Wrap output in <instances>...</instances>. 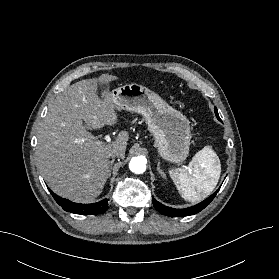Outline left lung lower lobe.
<instances>
[{"label": "left lung lower lobe", "instance_id": "obj_1", "mask_svg": "<svg viewBox=\"0 0 279 279\" xmlns=\"http://www.w3.org/2000/svg\"><path fill=\"white\" fill-rule=\"evenodd\" d=\"M217 118L220 120V118L218 116H217ZM218 191H219V189L214 194H212L209 198L202 201L201 203H199L195 206H191L189 208H185V209L170 208V207L164 206L163 204L159 203L155 199H152V202H153L155 209L163 215L172 216V217L188 216V215L196 214V213L200 212L201 210H203L213 200V198L215 197V195L217 194Z\"/></svg>", "mask_w": 279, "mask_h": 279}]
</instances>
